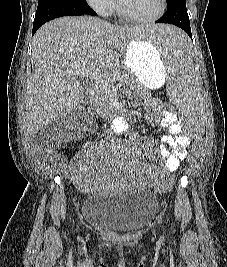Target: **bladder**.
<instances>
[{
	"mask_svg": "<svg viewBox=\"0 0 227 267\" xmlns=\"http://www.w3.org/2000/svg\"><path fill=\"white\" fill-rule=\"evenodd\" d=\"M157 197L149 189L122 195L90 194L83 202L82 215L94 228L131 231L147 224L157 212Z\"/></svg>",
	"mask_w": 227,
	"mask_h": 267,
	"instance_id": "31cf9c89",
	"label": "bladder"
}]
</instances>
